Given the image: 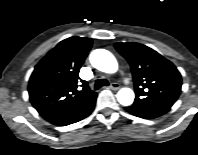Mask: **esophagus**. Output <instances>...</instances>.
<instances>
[{
    "label": "esophagus",
    "mask_w": 198,
    "mask_h": 155,
    "mask_svg": "<svg viewBox=\"0 0 198 155\" xmlns=\"http://www.w3.org/2000/svg\"><path fill=\"white\" fill-rule=\"evenodd\" d=\"M110 88L112 89V90H118L119 89V84L118 83H111V85H110Z\"/></svg>",
    "instance_id": "obj_1"
}]
</instances>
